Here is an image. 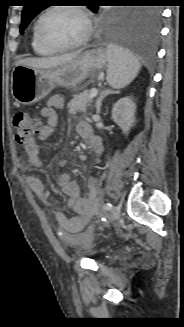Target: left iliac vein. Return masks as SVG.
Here are the masks:
<instances>
[{"instance_id": "4c4485c4", "label": "left iliac vein", "mask_w": 184, "mask_h": 327, "mask_svg": "<svg viewBox=\"0 0 184 327\" xmlns=\"http://www.w3.org/2000/svg\"><path fill=\"white\" fill-rule=\"evenodd\" d=\"M121 214V208L119 206H114L111 214V222H115L119 219Z\"/></svg>"}]
</instances>
